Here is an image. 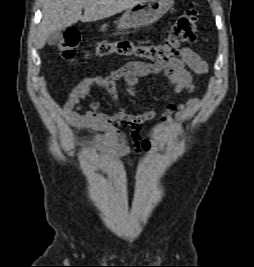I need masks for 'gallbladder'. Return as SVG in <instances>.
<instances>
[{
    "instance_id": "1",
    "label": "gallbladder",
    "mask_w": 254,
    "mask_h": 267,
    "mask_svg": "<svg viewBox=\"0 0 254 267\" xmlns=\"http://www.w3.org/2000/svg\"><path fill=\"white\" fill-rule=\"evenodd\" d=\"M62 35L60 31L53 32L49 37L47 38V43L49 46H54L60 41Z\"/></svg>"
}]
</instances>
